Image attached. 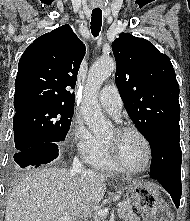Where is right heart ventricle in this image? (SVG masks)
<instances>
[{
  "mask_svg": "<svg viewBox=\"0 0 190 221\" xmlns=\"http://www.w3.org/2000/svg\"><path fill=\"white\" fill-rule=\"evenodd\" d=\"M90 165L101 171H118L119 169L111 161L104 141H100V147L97 154L89 161Z\"/></svg>",
  "mask_w": 190,
  "mask_h": 221,
  "instance_id": "e07e8e85",
  "label": "right heart ventricle"
}]
</instances>
